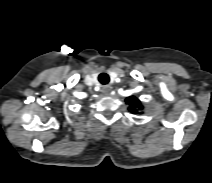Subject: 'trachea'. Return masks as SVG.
I'll return each instance as SVG.
<instances>
[{"instance_id": "obj_1", "label": "trachea", "mask_w": 212, "mask_h": 183, "mask_svg": "<svg viewBox=\"0 0 212 183\" xmlns=\"http://www.w3.org/2000/svg\"><path fill=\"white\" fill-rule=\"evenodd\" d=\"M98 80L101 84L105 85V84H108L109 82V76L108 74L106 73H101L99 76H98Z\"/></svg>"}]
</instances>
